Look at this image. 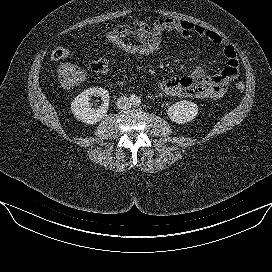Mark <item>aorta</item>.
I'll return each instance as SVG.
<instances>
[{
  "label": "aorta",
  "instance_id": "762f6f07",
  "mask_svg": "<svg viewBox=\"0 0 272 272\" xmlns=\"http://www.w3.org/2000/svg\"><path fill=\"white\" fill-rule=\"evenodd\" d=\"M130 101H131L132 105H134V106H137L141 103V99L136 95H132L130 98Z\"/></svg>",
  "mask_w": 272,
  "mask_h": 272
}]
</instances>
